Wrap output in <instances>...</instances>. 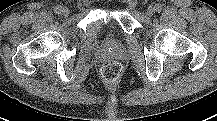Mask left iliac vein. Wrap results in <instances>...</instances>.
Segmentation results:
<instances>
[{
    "mask_svg": "<svg viewBox=\"0 0 217 121\" xmlns=\"http://www.w3.org/2000/svg\"><path fill=\"white\" fill-rule=\"evenodd\" d=\"M155 10H156L155 7L151 5V6H149L147 8V12L146 13H147L148 16H152L155 13Z\"/></svg>",
    "mask_w": 217,
    "mask_h": 121,
    "instance_id": "obj_1",
    "label": "left iliac vein"
}]
</instances>
